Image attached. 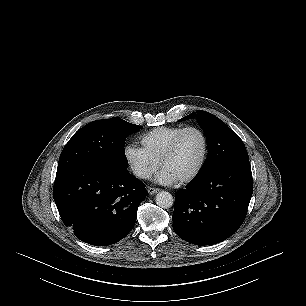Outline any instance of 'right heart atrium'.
Instances as JSON below:
<instances>
[{
    "label": "right heart atrium",
    "mask_w": 306,
    "mask_h": 306,
    "mask_svg": "<svg viewBox=\"0 0 306 306\" xmlns=\"http://www.w3.org/2000/svg\"><path fill=\"white\" fill-rule=\"evenodd\" d=\"M124 158L133 175L141 180L150 178L159 168V162L134 143L125 146Z\"/></svg>",
    "instance_id": "1"
}]
</instances>
